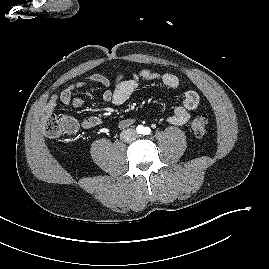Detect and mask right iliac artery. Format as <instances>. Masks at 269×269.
<instances>
[{
    "instance_id": "82829eb1",
    "label": "right iliac artery",
    "mask_w": 269,
    "mask_h": 269,
    "mask_svg": "<svg viewBox=\"0 0 269 269\" xmlns=\"http://www.w3.org/2000/svg\"><path fill=\"white\" fill-rule=\"evenodd\" d=\"M143 126H141V125H139L138 127H137V132L138 133H142L143 132Z\"/></svg>"
}]
</instances>
